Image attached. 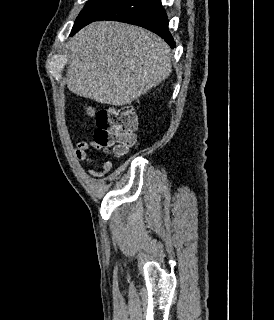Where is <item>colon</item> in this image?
Segmentation results:
<instances>
[{"instance_id": "colon-1", "label": "colon", "mask_w": 274, "mask_h": 320, "mask_svg": "<svg viewBox=\"0 0 274 320\" xmlns=\"http://www.w3.org/2000/svg\"><path fill=\"white\" fill-rule=\"evenodd\" d=\"M85 112L94 118L96 124L93 143H103V149H107L113 142L118 157L124 156L135 144L138 118L133 108L102 107L96 111L86 109Z\"/></svg>"}]
</instances>
